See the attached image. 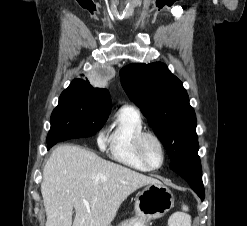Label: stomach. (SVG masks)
I'll return each mask as SVG.
<instances>
[{
	"label": "stomach",
	"instance_id": "0dacf381",
	"mask_svg": "<svg viewBox=\"0 0 247 226\" xmlns=\"http://www.w3.org/2000/svg\"><path fill=\"white\" fill-rule=\"evenodd\" d=\"M174 207V196L160 181L147 184L135 201V217L119 226H148L153 219L163 217Z\"/></svg>",
	"mask_w": 247,
	"mask_h": 226
}]
</instances>
